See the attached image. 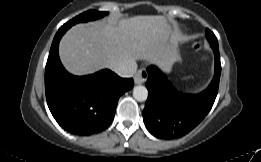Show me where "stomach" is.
<instances>
[{"label": "stomach", "mask_w": 261, "mask_h": 162, "mask_svg": "<svg viewBox=\"0 0 261 162\" xmlns=\"http://www.w3.org/2000/svg\"><path fill=\"white\" fill-rule=\"evenodd\" d=\"M170 68H171V65H168L165 67L166 70H170Z\"/></svg>", "instance_id": "0dacf381"}]
</instances>
